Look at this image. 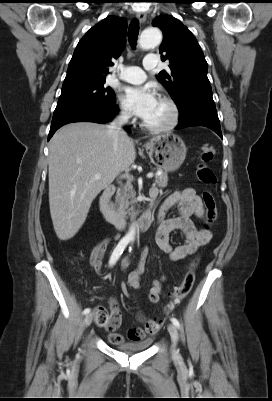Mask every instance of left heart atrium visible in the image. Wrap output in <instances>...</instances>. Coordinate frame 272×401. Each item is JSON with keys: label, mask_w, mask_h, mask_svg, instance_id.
<instances>
[{"label": "left heart atrium", "mask_w": 272, "mask_h": 401, "mask_svg": "<svg viewBox=\"0 0 272 401\" xmlns=\"http://www.w3.org/2000/svg\"><path fill=\"white\" fill-rule=\"evenodd\" d=\"M121 100L138 117L145 119L154 108L157 96L150 85L131 86L124 88Z\"/></svg>", "instance_id": "1"}]
</instances>
